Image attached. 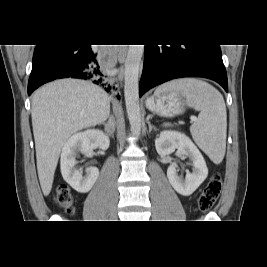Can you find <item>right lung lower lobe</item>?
Listing matches in <instances>:
<instances>
[{
  "label": "right lung lower lobe",
  "mask_w": 267,
  "mask_h": 267,
  "mask_svg": "<svg viewBox=\"0 0 267 267\" xmlns=\"http://www.w3.org/2000/svg\"><path fill=\"white\" fill-rule=\"evenodd\" d=\"M69 77L90 80L107 92L115 90L107 81L102 55L91 45H36L28 95L47 82Z\"/></svg>",
  "instance_id": "98d812e1"
}]
</instances>
